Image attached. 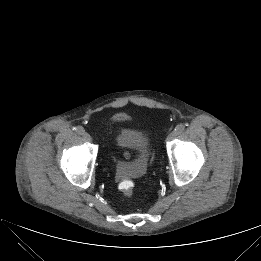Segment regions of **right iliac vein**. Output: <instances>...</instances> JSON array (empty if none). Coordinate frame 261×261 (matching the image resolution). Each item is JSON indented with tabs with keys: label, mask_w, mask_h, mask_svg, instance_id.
<instances>
[{
	"label": "right iliac vein",
	"mask_w": 261,
	"mask_h": 261,
	"mask_svg": "<svg viewBox=\"0 0 261 261\" xmlns=\"http://www.w3.org/2000/svg\"><path fill=\"white\" fill-rule=\"evenodd\" d=\"M83 137H84V139H85L86 141H88V142H91V141H92V138H91L90 134L87 133V132H84Z\"/></svg>",
	"instance_id": "1"
}]
</instances>
